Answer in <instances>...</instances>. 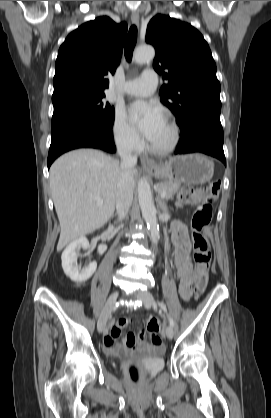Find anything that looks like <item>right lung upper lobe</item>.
Masks as SVG:
<instances>
[{"label":"right lung upper lobe","instance_id":"right-lung-upper-lobe-1","mask_svg":"<svg viewBox=\"0 0 271 418\" xmlns=\"http://www.w3.org/2000/svg\"><path fill=\"white\" fill-rule=\"evenodd\" d=\"M127 24L98 17L71 32L55 63L52 101L75 94L104 93L106 76L120 63Z\"/></svg>","mask_w":271,"mask_h":418}]
</instances>
